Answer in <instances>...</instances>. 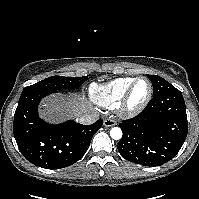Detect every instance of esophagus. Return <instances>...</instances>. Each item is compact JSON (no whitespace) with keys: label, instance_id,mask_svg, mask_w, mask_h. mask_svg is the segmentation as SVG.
<instances>
[{"label":"esophagus","instance_id":"1","mask_svg":"<svg viewBox=\"0 0 199 199\" xmlns=\"http://www.w3.org/2000/svg\"><path fill=\"white\" fill-rule=\"evenodd\" d=\"M116 124H117V122L113 118H106L104 120L105 127H112V126H115Z\"/></svg>","mask_w":199,"mask_h":199}]
</instances>
